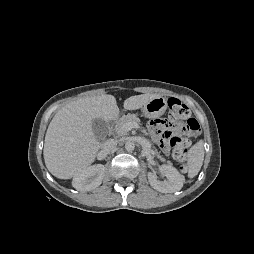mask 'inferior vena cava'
<instances>
[{
  "label": "inferior vena cava",
  "mask_w": 254,
  "mask_h": 254,
  "mask_svg": "<svg viewBox=\"0 0 254 254\" xmlns=\"http://www.w3.org/2000/svg\"><path fill=\"white\" fill-rule=\"evenodd\" d=\"M117 140L115 139H108L107 141L104 142V144L102 145V149L101 152L104 155L110 154L111 152H113L116 149L117 146Z\"/></svg>",
  "instance_id": "inferior-vena-cava-1"
}]
</instances>
